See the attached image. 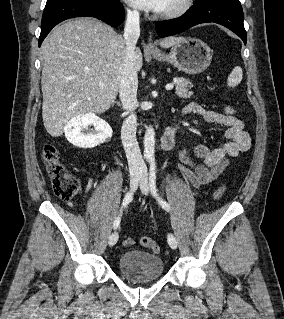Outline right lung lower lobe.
Listing matches in <instances>:
<instances>
[{"label": "right lung lower lobe", "instance_id": "right-lung-lower-lobe-1", "mask_svg": "<svg viewBox=\"0 0 284 319\" xmlns=\"http://www.w3.org/2000/svg\"><path fill=\"white\" fill-rule=\"evenodd\" d=\"M81 16L95 17L111 26H118L124 20V9L119 0L114 3L92 0L69 1L44 9L39 46L55 25L66 19Z\"/></svg>", "mask_w": 284, "mask_h": 319}]
</instances>
